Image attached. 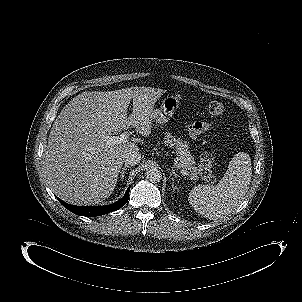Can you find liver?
<instances>
[{
    "label": "liver",
    "instance_id": "obj_1",
    "mask_svg": "<svg viewBox=\"0 0 302 302\" xmlns=\"http://www.w3.org/2000/svg\"><path fill=\"white\" fill-rule=\"evenodd\" d=\"M164 90L125 88L86 91L73 98L55 119L45 151L44 173L53 192L75 205H94L115 189L124 154L139 151L136 143L108 147L105 137L132 126L149 136L153 101ZM133 102L132 113L127 116Z\"/></svg>",
    "mask_w": 302,
    "mask_h": 302
}]
</instances>
